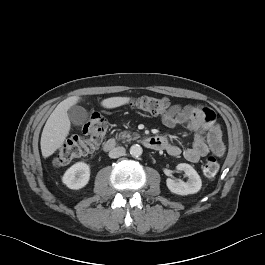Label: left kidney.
Masks as SVG:
<instances>
[{"label": "left kidney", "instance_id": "left-kidney-1", "mask_svg": "<svg viewBox=\"0 0 265 265\" xmlns=\"http://www.w3.org/2000/svg\"><path fill=\"white\" fill-rule=\"evenodd\" d=\"M177 170L183 171L188 176V181L177 182L171 178H167L166 185L168 189L178 195H188L197 193L202 186V181L197 171L189 164L180 163L177 165Z\"/></svg>", "mask_w": 265, "mask_h": 265}]
</instances>
